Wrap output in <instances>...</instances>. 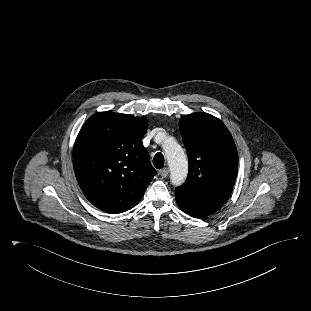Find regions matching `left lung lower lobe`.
Returning a JSON list of instances; mask_svg holds the SVG:
<instances>
[{
	"label": "left lung lower lobe",
	"mask_w": 311,
	"mask_h": 311,
	"mask_svg": "<svg viewBox=\"0 0 311 311\" xmlns=\"http://www.w3.org/2000/svg\"><path fill=\"white\" fill-rule=\"evenodd\" d=\"M175 197L180 209L195 218L209 216L224 205L223 203L194 195L179 187L176 188Z\"/></svg>",
	"instance_id": "1"
}]
</instances>
